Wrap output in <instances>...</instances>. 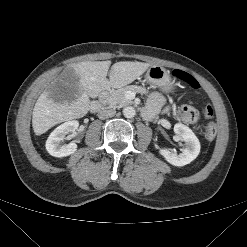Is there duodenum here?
I'll list each match as a JSON object with an SVG mask.
<instances>
[{
  "label": "duodenum",
  "mask_w": 247,
  "mask_h": 247,
  "mask_svg": "<svg viewBox=\"0 0 247 247\" xmlns=\"http://www.w3.org/2000/svg\"><path fill=\"white\" fill-rule=\"evenodd\" d=\"M111 90H112V88L110 85H106L104 87V89L102 90V92L99 95V98L94 100L90 104V111L91 112H97L104 106V102H105V100H106V98H107V96Z\"/></svg>",
  "instance_id": "obj_1"
}]
</instances>
